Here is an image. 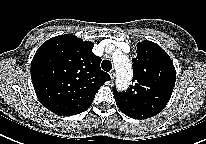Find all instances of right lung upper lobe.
I'll return each mask as SVG.
<instances>
[{
	"instance_id": "cb5924a9",
	"label": "right lung upper lobe",
	"mask_w": 206,
	"mask_h": 144,
	"mask_svg": "<svg viewBox=\"0 0 206 144\" xmlns=\"http://www.w3.org/2000/svg\"><path fill=\"white\" fill-rule=\"evenodd\" d=\"M92 48V42L66 34L47 40L37 50L31 62L32 83L39 101L51 112L70 116L87 110L110 80Z\"/></svg>"
}]
</instances>
